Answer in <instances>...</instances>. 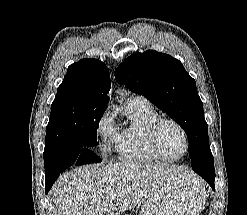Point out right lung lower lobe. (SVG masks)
Segmentation results:
<instances>
[{
    "label": "right lung lower lobe",
    "instance_id": "right-lung-lower-lobe-1",
    "mask_svg": "<svg viewBox=\"0 0 247 215\" xmlns=\"http://www.w3.org/2000/svg\"><path fill=\"white\" fill-rule=\"evenodd\" d=\"M45 179L48 193L61 172L71 165H83L101 162V159L88 147L80 148L75 144H65L57 147L52 153L44 156Z\"/></svg>",
    "mask_w": 247,
    "mask_h": 215
}]
</instances>
